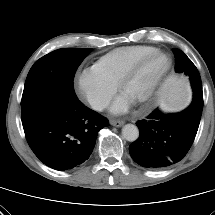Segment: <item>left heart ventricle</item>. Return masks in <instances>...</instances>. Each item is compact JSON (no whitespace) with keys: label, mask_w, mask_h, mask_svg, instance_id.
<instances>
[{"label":"left heart ventricle","mask_w":215,"mask_h":215,"mask_svg":"<svg viewBox=\"0 0 215 215\" xmlns=\"http://www.w3.org/2000/svg\"><path fill=\"white\" fill-rule=\"evenodd\" d=\"M165 65L166 58L164 56L159 55L150 59L136 77L125 87L123 94L131 102L136 103L138 99L147 93Z\"/></svg>","instance_id":"b2bd125f"}]
</instances>
